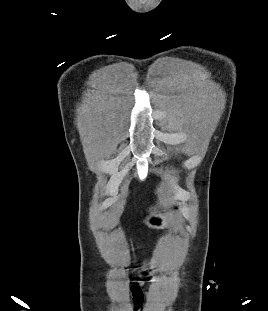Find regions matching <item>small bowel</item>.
<instances>
[{
	"mask_svg": "<svg viewBox=\"0 0 268 311\" xmlns=\"http://www.w3.org/2000/svg\"><path fill=\"white\" fill-rule=\"evenodd\" d=\"M141 287L142 283L131 287L132 302L135 311L140 310L144 300L153 301L148 291L142 290Z\"/></svg>",
	"mask_w": 268,
	"mask_h": 311,
	"instance_id": "c3829d8e",
	"label": "small bowel"
}]
</instances>
